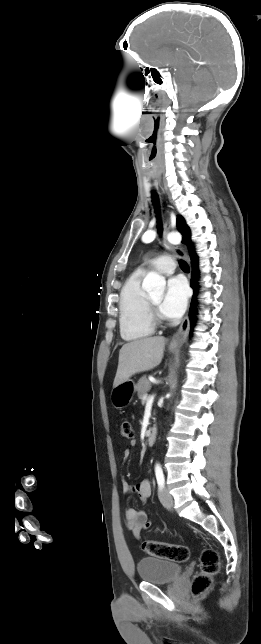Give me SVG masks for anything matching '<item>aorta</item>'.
Listing matches in <instances>:
<instances>
[{"label":"aorta","mask_w":261,"mask_h":644,"mask_svg":"<svg viewBox=\"0 0 261 644\" xmlns=\"http://www.w3.org/2000/svg\"><path fill=\"white\" fill-rule=\"evenodd\" d=\"M171 242H175V238L169 237ZM166 281L163 276H160L156 272H149L143 280L142 288L149 292L155 294H162L165 289Z\"/></svg>","instance_id":"1"}]
</instances>
